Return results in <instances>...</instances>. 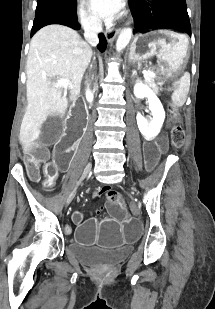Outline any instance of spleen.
<instances>
[{
	"label": "spleen",
	"instance_id": "spleen-1",
	"mask_svg": "<svg viewBox=\"0 0 215 309\" xmlns=\"http://www.w3.org/2000/svg\"><path fill=\"white\" fill-rule=\"evenodd\" d=\"M185 84H188V86L190 84L189 74H184L180 80H176L175 82L176 88L171 96L175 106H182L186 100V94L182 92V86H185Z\"/></svg>",
	"mask_w": 215,
	"mask_h": 309
}]
</instances>
